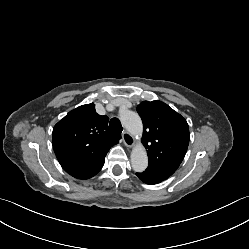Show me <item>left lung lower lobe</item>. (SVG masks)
Returning a JSON list of instances; mask_svg holds the SVG:
<instances>
[{
    "label": "left lung lower lobe",
    "instance_id": "left-lung-lower-lobe-1",
    "mask_svg": "<svg viewBox=\"0 0 249 249\" xmlns=\"http://www.w3.org/2000/svg\"><path fill=\"white\" fill-rule=\"evenodd\" d=\"M136 175L138 176V178L141 181H143L147 184H157V183H160L168 178L167 176L157 174V173L149 171L147 169L142 173H136Z\"/></svg>",
    "mask_w": 249,
    "mask_h": 249
}]
</instances>
